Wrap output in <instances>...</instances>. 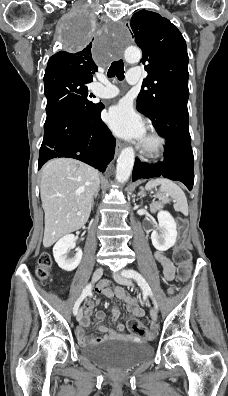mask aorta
<instances>
[{
  "label": "aorta",
  "instance_id": "aorta-1",
  "mask_svg": "<svg viewBox=\"0 0 228 396\" xmlns=\"http://www.w3.org/2000/svg\"><path fill=\"white\" fill-rule=\"evenodd\" d=\"M125 60L130 64H135L141 59V51L137 48L128 47L124 52ZM135 152L132 147L124 148L117 160L116 180L119 183L126 182L133 169Z\"/></svg>",
  "mask_w": 228,
  "mask_h": 396
}]
</instances>
